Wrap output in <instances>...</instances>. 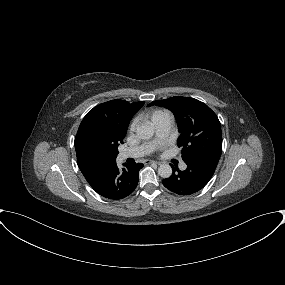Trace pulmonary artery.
Here are the masks:
<instances>
[{"label": "pulmonary artery", "instance_id": "1", "mask_svg": "<svg viewBox=\"0 0 285 285\" xmlns=\"http://www.w3.org/2000/svg\"><path fill=\"white\" fill-rule=\"evenodd\" d=\"M154 125L156 129V140L154 142L126 149L119 154V158H139L152 152L155 145L163 142L169 136L172 126L171 115L169 113L164 114L154 123ZM180 168L184 170L186 168V164L181 163Z\"/></svg>", "mask_w": 285, "mask_h": 285}]
</instances>
